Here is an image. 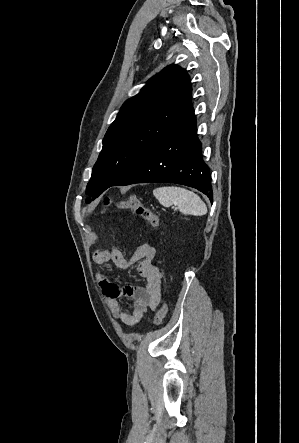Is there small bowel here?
Returning <instances> with one entry per match:
<instances>
[{"mask_svg":"<svg viewBox=\"0 0 299 443\" xmlns=\"http://www.w3.org/2000/svg\"><path fill=\"white\" fill-rule=\"evenodd\" d=\"M156 255L155 248L150 244H142L136 251L126 259L123 253L115 246L97 250L93 254V260L97 264L113 262L123 270L137 265L140 276L146 280V286L120 285L110 281L102 273H97L99 287L107 300L112 315L128 326L138 324L144 313L150 309H156L160 301L162 287V273L153 263ZM130 298L131 309L126 311L122 308L119 299Z\"/></svg>","mask_w":299,"mask_h":443,"instance_id":"obj_1","label":"small bowel"}]
</instances>
